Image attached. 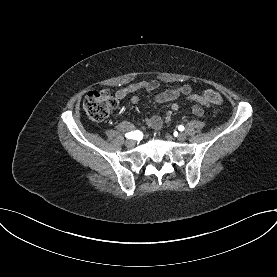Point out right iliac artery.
<instances>
[{
    "label": "right iliac artery",
    "mask_w": 277,
    "mask_h": 277,
    "mask_svg": "<svg viewBox=\"0 0 277 277\" xmlns=\"http://www.w3.org/2000/svg\"><path fill=\"white\" fill-rule=\"evenodd\" d=\"M142 136L143 134L140 131L129 132L125 135L128 139H139L142 138Z\"/></svg>",
    "instance_id": "obj_1"
}]
</instances>
